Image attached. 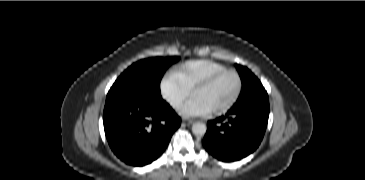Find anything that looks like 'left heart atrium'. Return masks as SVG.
<instances>
[{
  "label": "left heart atrium",
  "instance_id": "39dd6f15",
  "mask_svg": "<svg viewBox=\"0 0 365 180\" xmlns=\"http://www.w3.org/2000/svg\"><path fill=\"white\" fill-rule=\"evenodd\" d=\"M209 110L197 99L191 100L182 110L185 115L197 116L204 115Z\"/></svg>",
  "mask_w": 365,
  "mask_h": 180
}]
</instances>
